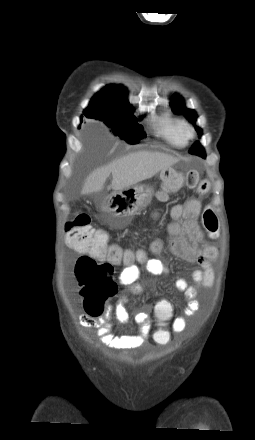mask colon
<instances>
[{"label":"colon","instance_id":"1","mask_svg":"<svg viewBox=\"0 0 255 440\" xmlns=\"http://www.w3.org/2000/svg\"><path fill=\"white\" fill-rule=\"evenodd\" d=\"M163 190L159 194L161 200L167 199L182 186L197 188L203 194L208 189L207 182H199V173L195 170L176 172L169 170L162 176ZM202 223L209 232L217 229L218 217L211 207L202 212ZM67 243L76 252L82 253L75 264V275L82 286L86 314L97 317L104 311L106 301L115 294L116 284L113 281L114 265L130 263L137 258V252L123 250L117 245H109L107 235L102 230L94 229L91 218L87 214H78L66 225ZM156 318L165 324L172 314V304L168 298H156ZM169 330L159 329L151 335L157 348H166L170 342Z\"/></svg>","mask_w":255,"mask_h":440}]
</instances>
